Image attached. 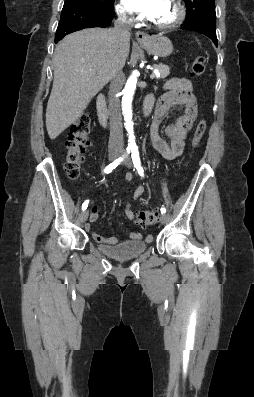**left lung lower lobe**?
I'll use <instances>...</instances> for the list:
<instances>
[{
    "label": "left lung lower lobe",
    "instance_id": "0a47b994",
    "mask_svg": "<svg viewBox=\"0 0 254 397\" xmlns=\"http://www.w3.org/2000/svg\"><path fill=\"white\" fill-rule=\"evenodd\" d=\"M193 4H196L193 3ZM184 30H192L208 36L217 46L216 15L215 9L198 10L187 7V16L181 27Z\"/></svg>",
    "mask_w": 254,
    "mask_h": 397
}]
</instances>
